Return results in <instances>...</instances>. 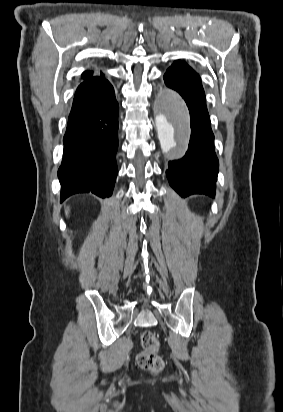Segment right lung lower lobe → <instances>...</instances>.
Segmentation results:
<instances>
[{
  "instance_id": "98d812e1",
  "label": "right lung lower lobe",
  "mask_w": 283,
  "mask_h": 412,
  "mask_svg": "<svg viewBox=\"0 0 283 412\" xmlns=\"http://www.w3.org/2000/svg\"><path fill=\"white\" fill-rule=\"evenodd\" d=\"M118 112L113 86L104 77H89L78 86L58 170L61 202L76 193L112 194L118 173Z\"/></svg>"
}]
</instances>
